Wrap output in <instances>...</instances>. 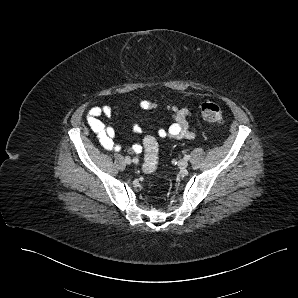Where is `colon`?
I'll list each match as a JSON object with an SVG mask.
<instances>
[{"label": "colon", "mask_w": 298, "mask_h": 298, "mask_svg": "<svg viewBox=\"0 0 298 298\" xmlns=\"http://www.w3.org/2000/svg\"><path fill=\"white\" fill-rule=\"evenodd\" d=\"M201 114L203 119L208 124H219L223 119V112L221 107L214 102H204L201 105ZM144 146V159L143 170L150 173L157 169L159 162V147L158 142L153 136H146L143 142Z\"/></svg>", "instance_id": "1"}]
</instances>
